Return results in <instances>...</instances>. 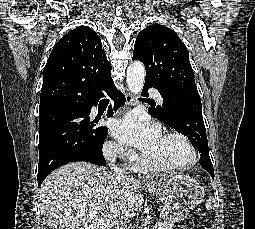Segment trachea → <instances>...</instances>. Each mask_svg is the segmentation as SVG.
Instances as JSON below:
<instances>
[{
  "label": "trachea",
  "instance_id": "obj_1",
  "mask_svg": "<svg viewBox=\"0 0 255 229\" xmlns=\"http://www.w3.org/2000/svg\"><path fill=\"white\" fill-rule=\"evenodd\" d=\"M101 101H102V102H104V101H109V99L105 98V99H102Z\"/></svg>",
  "mask_w": 255,
  "mask_h": 229
}]
</instances>
